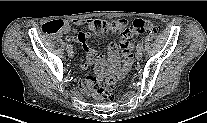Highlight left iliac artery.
I'll use <instances>...</instances> for the list:
<instances>
[{"label": "left iliac artery", "instance_id": "left-iliac-artery-1", "mask_svg": "<svg viewBox=\"0 0 207 123\" xmlns=\"http://www.w3.org/2000/svg\"><path fill=\"white\" fill-rule=\"evenodd\" d=\"M137 49L142 50V49H143V45H142L141 43H138V44H137Z\"/></svg>", "mask_w": 207, "mask_h": 123}]
</instances>
